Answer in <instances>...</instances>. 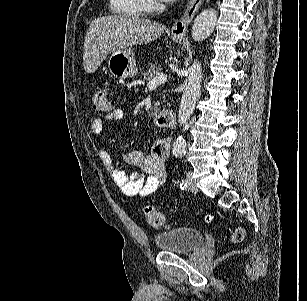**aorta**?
I'll return each instance as SVG.
<instances>
[{"label": "aorta", "mask_w": 307, "mask_h": 301, "mask_svg": "<svg viewBox=\"0 0 307 301\" xmlns=\"http://www.w3.org/2000/svg\"><path fill=\"white\" fill-rule=\"evenodd\" d=\"M217 16L218 14L214 8H207V10L200 12L192 24V38L194 40H204V38L210 36L215 28ZM201 78V64L199 60H194L189 68V74L184 84V90L178 108V126H183L195 110L200 92ZM185 148V138H183L182 134H179L173 144V151L174 153H185Z\"/></svg>", "instance_id": "762f6f07"}]
</instances>
